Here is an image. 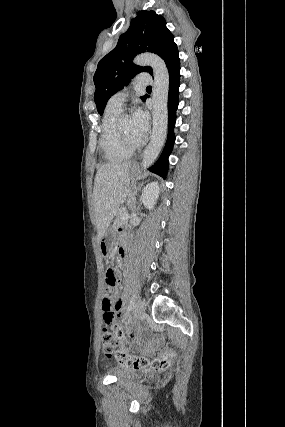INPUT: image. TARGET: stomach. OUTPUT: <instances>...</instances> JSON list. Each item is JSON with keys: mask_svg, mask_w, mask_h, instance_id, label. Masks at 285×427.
Listing matches in <instances>:
<instances>
[{"mask_svg": "<svg viewBox=\"0 0 285 427\" xmlns=\"http://www.w3.org/2000/svg\"><path fill=\"white\" fill-rule=\"evenodd\" d=\"M138 174V169L135 165H131L130 166V175L131 178H135ZM113 239H114V234L113 232H111L110 230H108L103 237L101 238L100 242H99V247L101 250V253L104 257H108L111 250H112V246H113Z\"/></svg>", "mask_w": 285, "mask_h": 427, "instance_id": "0dacf381", "label": "stomach"}]
</instances>
